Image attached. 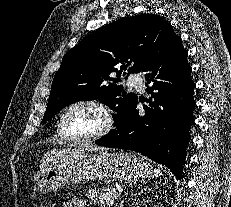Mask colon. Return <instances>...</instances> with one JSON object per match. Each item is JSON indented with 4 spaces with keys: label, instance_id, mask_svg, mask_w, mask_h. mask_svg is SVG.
Returning <instances> with one entry per match:
<instances>
[{
    "label": "colon",
    "instance_id": "colon-1",
    "mask_svg": "<svg viewBox=\"0 0 231 207\" xmlns=\"http://www.w3.org/2000/svg\"><path fill=\"white\" fill-rule=\"evenodd\" d=\"M39 207H48V206H39Z\"/></svg>",
    "mask_w": 231,
    "mask_h": 207
}]
</instances>
